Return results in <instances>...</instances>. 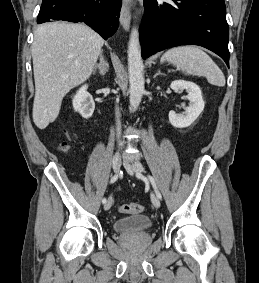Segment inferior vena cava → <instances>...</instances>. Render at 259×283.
Returning <instances> with one entry per match:
<instances>
[{"instance_id":"1","label":"inferior vena cava","mask_w":259,"mask_h":283,"mask_svg":"<svg viewBox=\"0 0 259 283\" xmlns=\"http://www.w3.org/2000/svg\"><path fill=\"white\" fill-rule=\"evenodd\" d=\"M119 117H120L119 111L118 109H116L117 139H118V145L122 147L124 145V142L120 139L121 123H120Z\"/></svg>"}]
</instances>
